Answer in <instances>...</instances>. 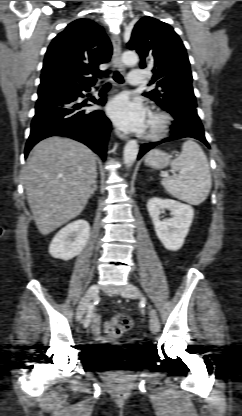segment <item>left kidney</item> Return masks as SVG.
I'll return each instance as SVG.
<instances>
[{
    "instance_id": "left-kidney-1",
    "label": "left kidney",
    "mask_w": 242,
    "mask_h": 416,
    "mask_svg": "<svg viewBox=\"0 0 242 416\" xmlns=\"http://www.w3.org/2000/svg\"><path fill=\"white\" fill-rule=\"evenodd\" d=\"M164 209L171 211L172 217L161 221L160 213ZM147 210L156 235L164 247L170 251L180 249L189 232L194 209L190 205L175 200L154 197L147 202Z\"/></svg>"
}]
</instances>
